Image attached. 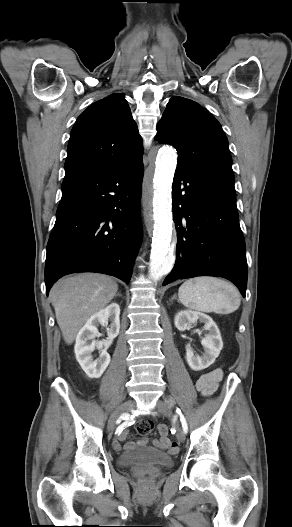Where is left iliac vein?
Returning <instances> with one entry per match:
<instances>
[{"label":"left iliac vein","instance_id":"4c4485c4","mask_svg":"<svg viewBox=\"0 0 292 527\" xmlns=\"http://www.w3.org/2000/svg\"><path fill=\"white\" fill-rule=\"evenodd\" d=\"M156 407L164 416H166L168 418H172L173 417L172 408L167 403H165L164 401L158 400L157 404H156ZM176 429H177L176 436H177L178 441L179 442H184L185 441V432L179 426L178 423L176 424Z\"/></svg>","mask_w":292,"mask_h":527}]
</instances>
